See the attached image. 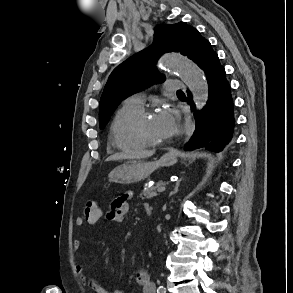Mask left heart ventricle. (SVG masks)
<instances>
[{
	"instance_id": "b2bd125f",
	"label": "left heart ventricle",
	"mask_w": 293,
	"mask_h": 293,
	"mask_svg": "<svg viewBox=\"0 0 293 293\" xmlns=\"http://www.w3.org/2000/svg\"><path fill=\"white\" fill-rule=\"evenodd\" d=\"M144 133L152 140L163 141L169 137L159 113L147 117L143 122Z\"/></svg>"
}]
</instances>
